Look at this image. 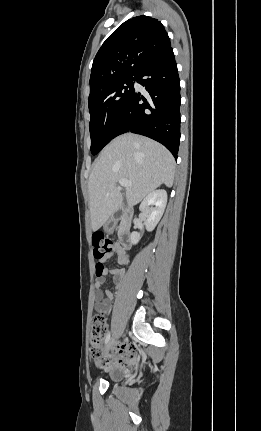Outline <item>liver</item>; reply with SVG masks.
<instances>
[{"instance_id": "obj_1", "label": "liver", "mask_w": 261, "mask_h": 431, "mask_svg": "<svg viewBox=\"0 0 261 431\" xmlns=\"http://www.w3.org/2000/svg\"><path fill=\"white\" fill-rule=\"evenodd\" d=\"M174 177L175 160L163 145L132 133L113 139L96 159L88 181L92 230H98L120 208V179L131 182L126 198L136 205L161 184L172 187Z\"/></svg>"}]
</instances>
